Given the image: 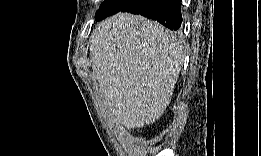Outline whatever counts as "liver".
I'll return each mask as SVG.
<instances>
[{
    "mask_svg": "<svg viewBox=\"0 0 261 156\" xmlns=\"http://www.w3.org/2000/svg\"><path fill=\"white\" fill-rule=\"evenodd\" d=\"M90 56L105 108L134 129L153 124L166 111L185 54L158 22L117 13L93 29Z\"/></svg>",
    "mask_w": 261,
    "mask_h": 156,
    "instance_id": "obj_1",
    "label": "liver"
}]
</instances>
